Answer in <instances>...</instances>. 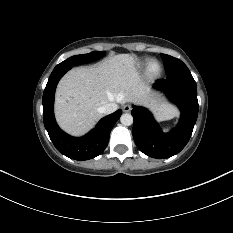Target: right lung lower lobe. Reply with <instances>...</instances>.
Instances as JSON below:
<instances>
[{
  "label": "right lung lower lobe",
  "instance_id": "obj_1",
  "mask_svg": "<svg viewBox=\"0 0 233 233\" xmlns=\"http://www.w3.org/2000/svg\"><path fill=\"white\" fill-rule=\"evenodd\" d=\"M70 69L56 68L51 73L43 93V121L51 141L60 153L74 160H89L100 155L107 147L110 132L122 111L119 109L102 118L95 129L83 137L74 138L63 132L54 117V94L60 78Z\"/></svg>",
  "mask_w": 233,
  "mask_h": 233
}]
</instances>
